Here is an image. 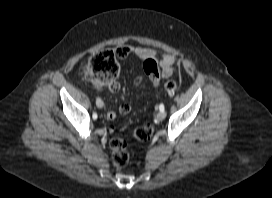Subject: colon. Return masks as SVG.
<instances>
[{"label": "colon", "mask_w": 272, "mask_h": 198, "mask_svg": "<svg viewBox=\"0 0 272 198\" xmlns=\"http://www.w3.org/2000/svg\"><path fill=\"white\" fill-rule=\"evenodd\" d=\"M119 54L116 50H102L93 55L84 69L85 78L91 83L99 86H107L115 81L119 72L118 64ZM144 72L148 76L158 74V65L153 59H147L143 64ZM165 90L173 94L177 91V84L174 81H168L164 85ZM153 132L151 123L137 127L131 131L134 138L140 141L148 140ZM111 161L116 168H123L129 162V153L127 143L120 137H113L110 141Z\"/></svg>", "instance_id": "colon-1"}]
</instances>
